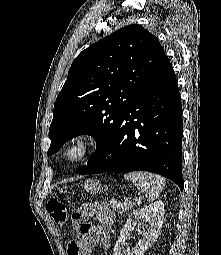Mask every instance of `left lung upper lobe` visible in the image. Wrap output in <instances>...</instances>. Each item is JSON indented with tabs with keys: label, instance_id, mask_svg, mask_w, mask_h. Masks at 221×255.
Here are the masks:
<instances>
[{
	"label": "left lung upper lobe",
	"instance_id": "obj_1",
	"mask_svg": "<svg viewBox=\"0 0 221 255\" xmlns=\"http://www.w3.org/2000/svg\"><path fill=\"white\" fill-rule=\"evenodd\" d=\"M165 57L158 39L138 24L125 26L82 51L56 98L47 154L56 153L73 137L88 134L97 144L88 163L97 157Z\"/></svg>",
	"mask_w": 221,
	"mask_h": 255
}]
</instances>
